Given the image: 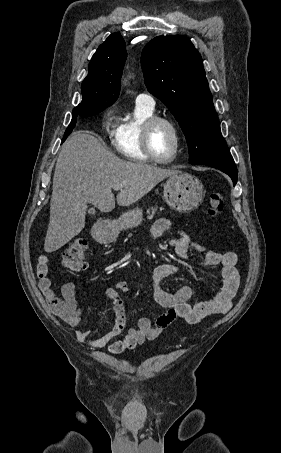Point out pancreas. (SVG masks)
I'll use <instances>...</instances> for the list:
<instances>
[{"instance_id": "pancreas-1", "label": "pancreas", "mask_w": 281, "mask_h": 453, "mask_svg": "<svg viewBox=\"0 0 281 453\" xmlns=\"http://www.w3.org/2000/svg\"><path fill=\"white\" fill-rule=\"evenodd\" d=\"M157 210V206H150V208H147V218H153L155 214H158Z\"/></svg>"}]
</instances>
